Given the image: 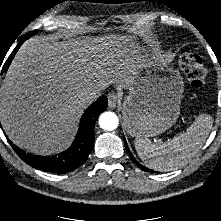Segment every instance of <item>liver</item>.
<instances>
[{"mask_svg": "<svg viewBox=\"0 0 221 221\" xmlns=\"http://www.w3.org/2000/svg\"><path fill=\"white\" fill-rule=\"evenodd\" d=\"M106 39L105 45L120 48L124 37ZM97 51L87 44L50 43L45 37L23 44L0 86V122L15 144L34 153L65 147L85 107L79 93L131 84L140 65L127 71L104 69L103 53Z\"/></svg>", "mask_w": 221, "mask_h": 221, "instance_id": "liver-1", "label": "liver"}]
</instances>
